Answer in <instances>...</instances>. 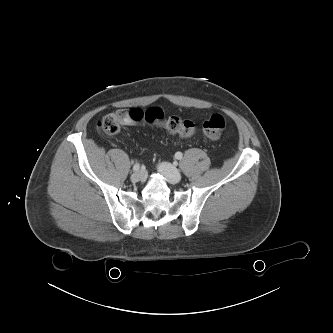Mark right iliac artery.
I'll list each match as a JSON object with an SVG mask.
<instances>
[{"label": "right iliac artery", "mask_w": 333, "mask_h": 333, "mask_svg": "<svg viewBox=\"0 0 333 333\" xmlns=\"http://www.w3.org/2000/svg\"><path fill=\"white\" fill-rule=\"evenodd\" d=\"M139 169H140V164H139V163H136V164L133 166V171H134V172H137V171H139Z\"/></svg>", "instance_id": "82829eb1"}]
</instances>
